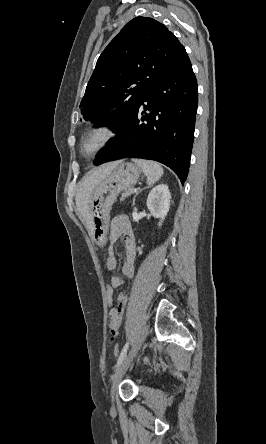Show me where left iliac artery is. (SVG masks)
<instances>
[{
  "mask_svg": "<svg viewBox=\"0 0 266 444\" xmlns=\"http://www.w3.org/2000/svg\"><path fill=\"white\" fill-rule=\"evenodd\" d=\"M128 346H129V343L127 342L126 344H125V346L123 347V349H122V351H121V354H120V356H119V358H118V360H117V364H116V368L122 363V361L124 360V358H125V356H126V354H127V350H128Z\"/></svg>",
  "mask_w": 266,
  "mask_h": 444,
  "instance_id": "obj_1",
  "label": "left iliac artery"
}]
</instances>
